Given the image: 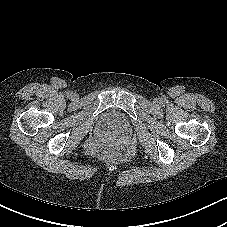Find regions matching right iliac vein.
<instances>
[{"label":"right iliac vein","mask_w":227,"mask_h":227,"mask_svg":"<svg viewBox=\"0 0 227 227\" xmlns=\"http://www.w3.org/2000/svg\"><path fill=\"white\" fill-rule=\"evenodd\" d=\"M72 97H73V98H76V97H77V95H76V94H73V95H72Z\"/></svg>","instance_id":"63e3f726"}]
</instances>
